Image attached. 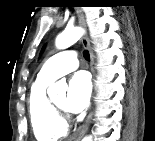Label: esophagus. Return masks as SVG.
I'll return each mask as SVG.
<instances>
[{"label":"esophagus","mask_w":155,"mask_h":141,"mask_svg":"<svg viewBox=\"0 0 155 141\" xmlns=\"http://www.w3.org/2000/svg\"><path fill=\"white\" fill-rule=\"evenodd\" d=\"M77 15H78V21L79 24L82 28H85V18H84V14L81 11V9H77ZM81 42L83 44V46L89 51L90 53V66H91V72L93 74V76L95 77V57L94 54L92 52L89 40L86 36V34H84L81 38ZM92 112L89 113V115L87 116L85 122L83 123V125L80 127V129L78 130V133L76 135V140H80L86 133V131L89 128L91 119H92Z\"/></svg>","instance_id":"obj_1"}]
</instances>
